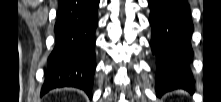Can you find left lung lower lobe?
<instances>
[{"label":"left lung lower lobe","mask_w":221,"mask_h":102,"mask_svg":"<svg viewBox=\"0 0 221 102\" xmlns=\"http://www.w3.org/2000/svg\"><path fill=\"white\" fill-rule=\"evenodd\" d=\"M152 27L151 49L157 59L158 96L174 90L194 91L190 69L193 23L186 0H149Z\"/></svg>","instance_id":"1"}]
</instances>
